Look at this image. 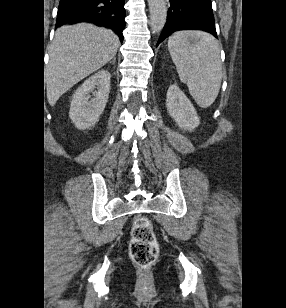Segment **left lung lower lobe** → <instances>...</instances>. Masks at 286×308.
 I'll list each match as a JSON object with an SVG mask.
<instances>
[{
	"label": "left lung lower lobe",
	"instance_id": "left-lung-lower-lobe-1",
	"mask_svg": "<svg viewBox=\"0 0 286 308\" xmlns=\"http://www.w3.org/2000/svg\"><path fill=\"white\" fill-rule=\"evenodd\" d=\"M167 22L157 46L178 30H204L217 38L211 0H169Z\"/></svg>",
	"mask_w": 286,
	"mask_h": 308
}]
</instances>
